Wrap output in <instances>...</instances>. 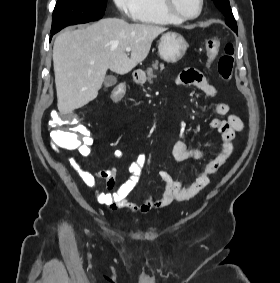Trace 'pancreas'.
I'll use <instances>...</instances> for the list:
<instances>
[{"instance_id": "cf45deb5", "label": "pancreas", "mask_w": 280, "mask_h": 283, "mask_svg": "<svg viewBox=\"0 0 280 283\" xmlns=\"http://www.w3.org/2000/svg\"><path fill=\"white\" fill-rule=\"evenodd\" d=\"M159 68L161 70H163L165 68L164 64L163 63L159 64L158 61H155L152 64V66L147 69V75H148V82L149 83H152V79L155 78L154 71H157Z\"/></svg>"}]
</instances>
